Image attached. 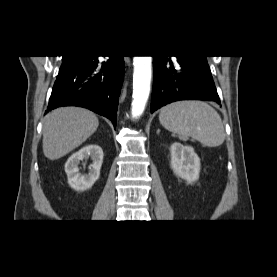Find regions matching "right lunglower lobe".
Listing matches in <instances>:
<instances>
[{"mask_svg":"<svg viewBox=\"0 0 277 277\" xmlns=\"http://www.w3.org/2000/svg\"><path fill=\"white\" fill-rule=\"evenodd\" d=\"M124 66L123 56H109L107 61L79 56L59 71L45 113L60 106H80L107 117L116 126Z\"/></svg>","mask_w":277,"mask_h":277,"instance_id":"obj_1","label":"right lung lower lobe"}]
</instances>
